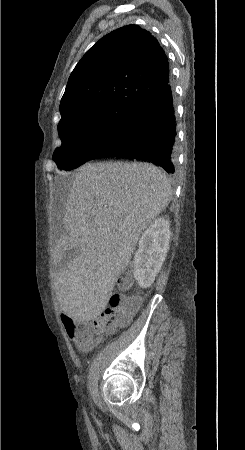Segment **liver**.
Listing matches in <instances>:
<instances>
[{"label":"liver","instance_id":"liver-1","mask_svg":"<svg viewBox=\"0 0 245 450\" xmlns=\"http://www.w3.org/2000/svg\"><path fill=\"white\" fill-rule=\"evenodd\" d=\"M171 195L166 174L148 163H87L79 169L65 205L67 235L53 251L55 289L65 313L88 320L106 308L141 233ZM71 250L75 254L63 266Z\"/></svg>","mask_w":245,"mask_h":450}]
</instances>
